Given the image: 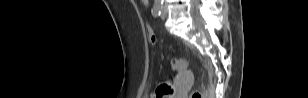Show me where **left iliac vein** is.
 <instances>
[{"label": "left iliac vein", "instance_id": "4c4485c4", "mask_svg": "<svg viewBox=\"0 0 308 98\" xmlns=\"http://www.w3.org/2000/svg\"><path fill=\"white\" fill-rule=\"evenodd\" d=\"M167 18V10L165 6H162V12H161V19H166Z\"/></svg>", "mask_w": 308, "mask_h": 98}]
</instances>
